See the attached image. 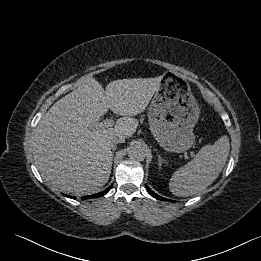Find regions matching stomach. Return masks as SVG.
<instances>
[{"label": "stomach", "instance_id": "1", "mask_svg": "<svg viewBox=\"0 0 261 261\" xmlns=\"http://www.w3.org/2000/svg\"><path fill=\"white\" fill-rule=\"evenodd\" d=\"M199 113L189 82L175 72H165L148 109L150 130L159 145L174 153L191 148Z\"/></svg>", "mask_w": 261, "mask_h": 261}]
</instances>
